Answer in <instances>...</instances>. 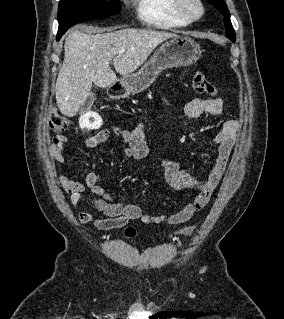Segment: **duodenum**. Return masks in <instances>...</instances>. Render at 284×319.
Returning a JSON list of instances; mask_svg holds the SVG:
<instances>
[{
    "instance_id": "obj_1",
    "label": "duodenum",
    "mask_w": 284,
    "mask_h": 319,
    "mask_svg": "<svg viewBox=\"0 0 284 319\" xmlns=\"http://www.w3.org/2000/svg\"><path fill=\"white\" fill-rule=\"evenodd\" d=\"M125 95V89L124 88H117L112 90V96L113 97H122Z\"/></svg>"
}]
</instances>
